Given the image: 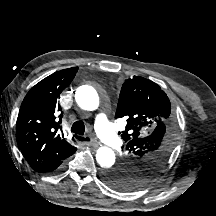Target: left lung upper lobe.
Listing matches in <instances>:
<instances>
[{
  "label": "left lung upper lobe",
  "mask_w": 216,
  "mask_h": 216,
  "mask_svg": "<svg viewBox=\"0 0 216 216\" xmlns=\"http://www.w3.org/2000/svg\"><path fill=\"white\" fill-rule=\"evenodd\" d=\"M115 118L127 121L121 133L123 156L103 178L114 189L131 191L152 180L167 162L178 137L177 111L159 85L134 76L122 85Z\"/></svg>",
  "instance_id": "5c2ea615"
}]
</instances>
